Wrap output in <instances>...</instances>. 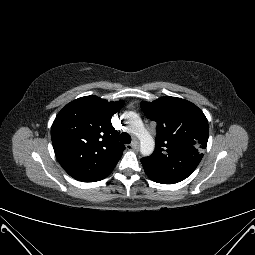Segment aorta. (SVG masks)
Segmentation results:
<instances>
[{
    "label": "aorta",
    "instance_id": "obj_1",
    "mask_svg": "<svg viewBox=\"0 0 255 255\" xmlns=\"http://www.w3.org/2000/svg\"><path fill=\"white\" fill-rule=\"evenodd\" d=\"M123 118L128 124V130L133 133L140 141V152L144 156H149L155 148V141L144 127L141 118L134 112H126Z\"/></svg>",
    "mask_w": 255,
    "mask_h": 255
}]
</instances>
